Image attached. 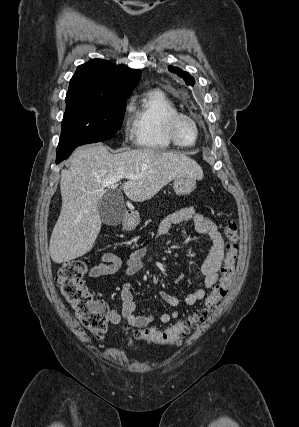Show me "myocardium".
<instances>
[{
  "instance_id": "1",
  "label": "myocardium",
  "mask_w": 299,
  "mask_h": 427,
  "mask_svg": "<svg viewBox=\"0 0 299 427\" xmlns=\"http://www.w3.org/2000/svg\"><path fill=\"white\" fill-rule=\"evenodd\" d=\"M182 119H187V120L191 121L192 124L194 125L195 139L192 143H182L178 139L176 128H177L178 122ZM165 131H166V134H167L169 140L175 146H178L181 148H188V147L194 146L197 143L199 136H200V127H199L197 120L195 118H193L191 115H189L187 113H182V112L173 113L166 118V120H165Z\"/></svg>"
}]
</instances>
